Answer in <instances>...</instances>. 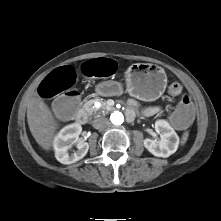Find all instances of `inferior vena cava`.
Masks as SVG:
<instances>
[{"label": "inferior vena cava", "instance_id": "inferior-vena-cava-1", "mask_svg": "<svg viewBox=\"0 0 221 221\" xmlns=\"http://www.w3.org/2000/svg\"><path fill=\"white\" fill-rule=\"evenodd\" d=\"M92 125L95 129H103L109 125V121L106 118H97L92 121Z\"/></svg>", "mask_w": 221, "mask_h": 221}]
</instances>
